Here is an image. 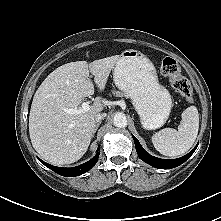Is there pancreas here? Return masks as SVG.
Returning a JSON list of instances; mask_svg holds the SVG:
<instances>
[{"label":"pancreas","instance_id":"1","mask_svg":"<svg viewBox=\"0 0 221 221\" xmlns=\"http://www.w3.org/2000/svg\"><path fill=\"white\" fill-rule=\"evenodd\" d=\"M113 94L117 97H122L123 96V93L120 92V91H114Z\"/></svg>","mask_w":221,"mask_h":221}]
</instances>
